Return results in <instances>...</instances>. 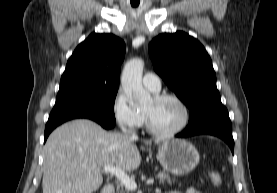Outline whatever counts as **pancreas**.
<instances>
[{
	"label": "pancreas",
	"instance_id": "pancreas-1",
	"mask_svg": "<svg viewBox=\"0 0 277 193\" xmlns=\"http://www.w3.org/2000/svg\"><path fill=\"white\" fill-rule=\"evenodd\" d=\"M157 177L159 178L161 183L167 182V183L171 184V182H172L169 174H167L164 171H160L158 173ZM117 193H129V191L127 190V188L124 187V185L120 184L117 187Z\"/></svg>",
	"mask_w": 277,
	"mask_h": 193
}]
</instances>
